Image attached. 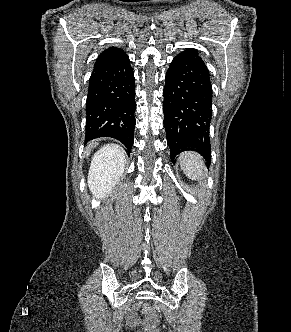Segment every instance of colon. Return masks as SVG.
I'll return each instance as SVG.
<instances>
[{
  "instance_id": "1",
  "label": "colon",
  "mask_w": 291,
  "mask_h": 332,
  "mask_svg": "<svg viewBox=\"0 0 291 332\" xmlns=\"http://www.w3.org/2000/svg\"><path fill=\"white\" fill-rule=\"evenodd\" d=\"M142 311L145 315V321H146V332H159L157 328V313L155 309L149 305L145 304L143 305Z\"/></svg>"
}]
</instances>
